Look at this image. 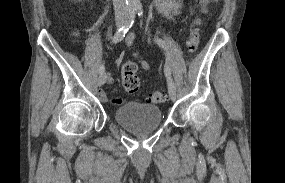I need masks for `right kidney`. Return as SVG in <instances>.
<instances>
[{
  "label": "right kidney",
  "mask_w": 285,
  "mask_h": 183,
  "mask_svg": "<svg viewBox=\"0 0 285 183\" xmlns=\"http://www.w3.org/2000/svg\"><path fill=\"white\" fill-rule=\"evenodd\" d=\"M73 1H75V2H80V1H82V0H73Z\"/></svg>",
  "instance_id": "obj_1"
}]
</instances>
